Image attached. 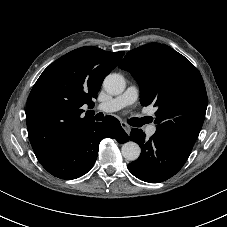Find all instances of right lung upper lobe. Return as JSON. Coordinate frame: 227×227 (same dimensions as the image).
I'll return each instance as SVG.
<instances>
[{"label":"right lung upper lobe","instance_id":"right-lung-upper-lobe-1","mask_svg":"<svg viewBox=\"0 0 227 227\" xmlns=\"http://www.w3.org/2000/svg\"><path fill=\"white\" fill-rule=\"evenodd\" d=\"M124 52L93 46L75 49L50 64L33 86L26 105L30 143L38 161L50 160L75 135L93 122L81 107L93 105L104 78Z\"/></svg>","mask_w":227,"mask_h":227}]
</instances>
